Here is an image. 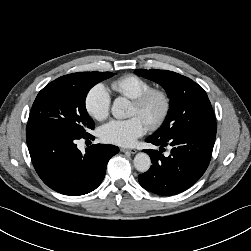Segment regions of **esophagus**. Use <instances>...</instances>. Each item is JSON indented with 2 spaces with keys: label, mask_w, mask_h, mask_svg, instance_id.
Instances as JSON below:
<instances>
[{
  "label": "esophagus",
  "mask_w": 251,
  "mask_h": 251,
  "mask_svg": "<svg viewBox=\"0 0 251 251\" xmlns=\"http://www.w3.org/2000/svg\"><path fill=\"white\" fill-rule=\"evenodd\" d=\"M120 151L124 153H131V154H135L137 152L136 149H126V148H121Z\"/></svg>",
  "instance_id": "1"
}]
</instances>
